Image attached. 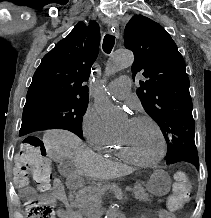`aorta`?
Instances as JSON below:
<instances>
[{
  "mask_svg": "<svg viewBox=\"0 0 211 218\" xmlns=\"http://www.w3.org/2000/svg\"><path fill=\"white\" fill-rule=\"evenodd\" d=\"M133 60V54L128 50H118L114 52L106 64V76L113 75L122 69L130 67ZM94 105L107 130L116 131L123 126L124 115L111 104L109 98L103 91L97 92ZM117 211L115 207L109 209L106 218H117Z\"/></svg>",
  "mask_w": 211,
  "mask_h": 218,
  "instance_id": "1",
  "label": "aorta"
}]
</instances>
